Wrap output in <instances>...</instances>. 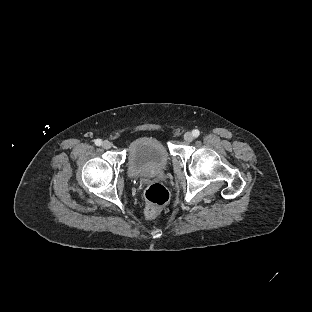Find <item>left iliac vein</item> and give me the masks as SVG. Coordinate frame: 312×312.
Listing matches in <instances>:
<instances>
[{
  "mask_svg": "<svg viewBox=\"0 0 312 312\" xmlns=\"http://www.w3.org/2000/svg\"><path fill=\"white\" fill-rule=\"evenodd\" d=\"M184 139L187 141V142H190L194 139V136L191 132H186L184 134Z\"/></svg>",
  "mask_w": 312,
  "mask_h": 312,
  "instance_id": "1",
  "label": "left iliac vein"
}]
</instances>
